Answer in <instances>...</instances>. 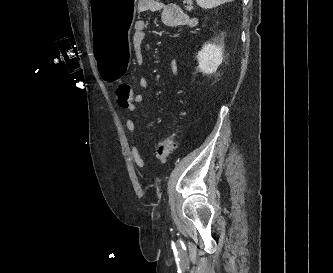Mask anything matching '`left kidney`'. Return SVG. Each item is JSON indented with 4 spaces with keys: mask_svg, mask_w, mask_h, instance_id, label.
<instances>
[{
    "mask_svg": "<svg viewBox=\"0 0 333 273\" xmlns=\"http://www.w3.org/2000/svg\"><path fill=\"white\" fill-rule=\"evenodd\" d=\"M198 68L205 74L216 72L218 66L223 60V45L216 43H208L198 52Z\"/></svg>",
    "mask_w": 333,
    "mask_h": 273,
    "instance_id": "left-kidney-1",
    "label": "left kidney"
}]
</instances>
